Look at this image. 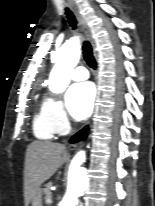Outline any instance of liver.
Returning a JSON list of instances; mask_svg holds the SVG:
<instances>
[{"label":"liver","instance_id":"obj_1","mask_svg":"<svg viewBox=\"0 0 155 206\" xmlns=\"http://www.w3.org/2000/svg\"><path fill=\"white\" fill-rule=\"evenodd\" d=\"M67 159L60 143L34 141L26 151L24 167V202L28 206L41 184L54 175Z\"/></svg>","mask_w":155,"mask_h":206}]
</instances>
